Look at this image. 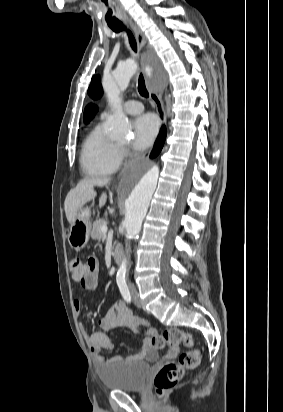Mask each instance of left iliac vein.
I'll list each match as a JSON object with an SVG mask.
<instances>
[{
  "label": "left iliac vein",
  "mask_w": 283,
  "mask_h": 412,
  "mask_svg": "<svg viewBox=\"0 0 283 412\" xmlns=\"http://www.w3.org/2000/svg\"><path fill=\"white\" fill-rule=\"evenodd\" d=\"M131 295L133 298V302L137 307H141V301L139 299L138 291L135 287L131 288Z\"/></svg>",
  "instance_id": "obj_1"
}]
</instances>
